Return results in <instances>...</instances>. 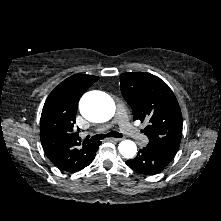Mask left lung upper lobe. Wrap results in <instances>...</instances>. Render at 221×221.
Returning <instances> with one entry per match:
<instances>
[{"label": "left lung upper lobe", "instance_id": "obj_1", "mask_svg": "<svg viewBox=\"0 0 221 221\" xmlns=\"http://www.w3.org/2000/svg\"><path fill=\"white\" fill-rule=\"evenodd\" d=\"M121 93L133 109L134 120H146L147 146L175 156L182 136V114L169 86L150 73L120 75Z\"/></svg>", "mask_w": 221, "mask_h": 221}]
</instances>
